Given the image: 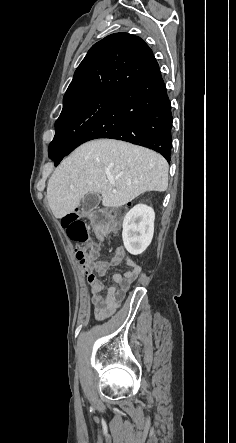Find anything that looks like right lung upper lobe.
Segmentation results:
<instances>
[{
	"instance_id": "cb5924a9",
	"label": "right lung upper lobe",
	"mask_w": 236,
	"mask_h": 443,
	"mask_svg": "<svg viewBox=\"0 0 236 443\" xmlns=\"http://www.w3.org/2000/svg\"><path fill=\"white\" fill-rule=\"evenodd\" d=\"M156 63L150 47L128 33L111 34L94 44L74 73L63 109L97 94H117Z\"/></svg>"
}]
</instances>
